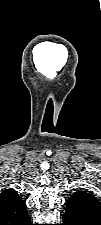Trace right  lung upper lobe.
<instances>
[{
  "label": "right lung upper lobe",
  "instance_id": "1",
  "mask_svg": "<svg viewBox=\"0 0 101 225\" xmlns=\"http://www.w3.org/2000/svg\"><path fill=\"white\" fill-rule=\"evenodd\" d=\"M29 219L26 204L15 190L0 193V225H24Z\"/></svg>",
  "mask_w": 101,
  "mask_h": 225
}]
</instances>
